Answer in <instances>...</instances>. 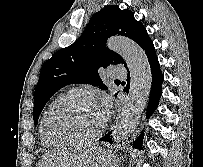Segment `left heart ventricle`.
Listing matches in <instances>:
<instances>
[{
    "mask_svg": "<svg viewBox=\"0 0 203 167\" xmlns=\"http://www.w3.org/2000/svg\"><path fill=\"white\" fill-rule=\"evenodd\" d=\"M103 119L94 105L80 98L58 115L51 123L52 129L67 137H87L98 131Z\"/></svg>",
    "mask_w": 203,
    "mask_h": 167,
    "instance_id": "1",
    "label": "left heart ventricle"
}]
</instances>
